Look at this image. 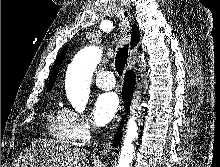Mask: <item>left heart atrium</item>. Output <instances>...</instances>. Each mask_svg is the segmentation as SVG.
I'll return each instance as SVG.
<instances>
[{
  "label": "left heart atrium",
  "mask_w": 220,
  "mask_h": 167,
  "mask_svg": "<svg viewBox=\"0 0 220 167\" xmlns=\"http://www.w3.org/2000/svg\"><path fill=\"white\" fill-rule=\"evenodd\" d=\"M119 108L118 96L113 92L100 94L93 109L94 120L97 125H105L113 120Z\"/></svg>",
  "instance_id": "obj_1"
}]
</instances>
